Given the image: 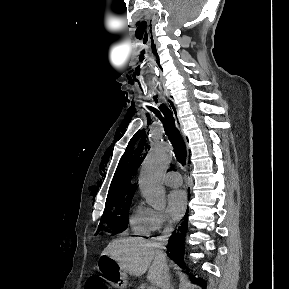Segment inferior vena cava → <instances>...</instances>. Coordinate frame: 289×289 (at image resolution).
I'll list each match as a JSON object with an SVG mask.
<instances>
[{"label":"inferior vena cava","mask_w":289,"mask_h":289,"mask_svg":"<svg viewBox=\"0 0 289 289\" xmlns=\"http://www.w3.org/2000/svg\"><path fill=\"white\" fill-rule=\"evenodd\" d=\"M172 231H173V228L171 226H167L164 229L163 236L161 237L160 243L158 244V256L163 266L162 276L157 283V286L160 289H172L171 283H170V275H169L168 267L166 264V254L163 251V246L168 241V238Z\"/></svg>","instance_id":"1"}]
</instances>
